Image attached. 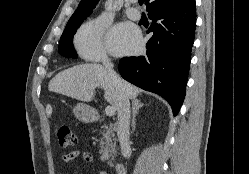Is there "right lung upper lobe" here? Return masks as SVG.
I'll return each instance as SVG.
<instances>
[{
  "instance_id": "obj_1",
  "label": "right lung upper lobe",
  "mask_w": 249,
  "mask_h": 174,
  "mask_svg": "<svg viewBox=\"0 0 249 174\" xmlns=\"http://www.w3.org/2000/svg\"><path fill=\"white\" fill-rule=\"evenodd\" d=\"M98 1L99 0H81L78 8L71 16L68 23L83 21L84 19H86V17L90 15L92 9L95 7ZM179 1L181 0H146V10L148 13H150L159 7L171 5Z\"/></svg>"
}]
</instances>
